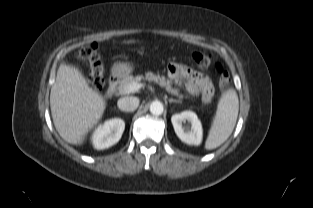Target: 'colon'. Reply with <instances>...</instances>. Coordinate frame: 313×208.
Returning a JSON list of instances; mask_svg holds the SVG:
<instances>
[{
	"label": "colon",
	"instance_id": "colon-1",
	"mask_svg": "<svg viewBox=\"0 0 313 208\" xmlns=\"http://www.w3.org/2000/svg\"><path fill=\"white\" fill-rule=\"evenodd\" d=\"M78 56L87 61L90 65V80L93 86L101 89L104 85L103 67L98 53V46L96 43H91L79 50ZM193 60L200 66L206 67L211 62V56L208 53L201 51H194L192 54ZM219 72V85L225 87L230 82L228 72L220 65H217Z\"/></svg>",
	"mask_w": 313,
	"mask_h": 208
}]
</instances>
